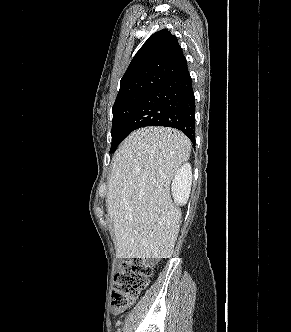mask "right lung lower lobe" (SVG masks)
Instances as JSON below:
<instances>
[{"label":"right lung lower lobe","mask_w":291,"mask_h":332,"mask_svg":"<svg viewBox=\"0 0 291 332\" xmlns=\"http://www.w3.org/2000/svg\"><path fill=\"white\" fill-rule=\"evenodd\" d=\"M195 98L188 68L156 86L139 104L124 128L127 136L146 126L176 128L195 144Z\"/></svg>","instance_id":"obj_1"}]
</instances>
